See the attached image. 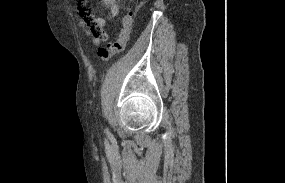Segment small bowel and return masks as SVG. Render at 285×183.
Here are the masks:
<instances>
[{
    "mask_svg": "<svg viewBox=\"0 0 285 183\" xmlns=\"http://www.w3.org/2000/svg\"><path fill=\"white\" fill-rule=\"evenodd\" d=\"M102 2L109 11L107 17L92 14L85 4H82L79 10L78 25L84 30L85 35L92 39L94 46L108 41V34L104 30L107 22L117 18L120 14L117 0H102Z\"/></svg>",
    "mask_w": 285,
    "mask_h": 183,
    "instance_id": "1",
    "label": "small bowel"
}]
</instances>
